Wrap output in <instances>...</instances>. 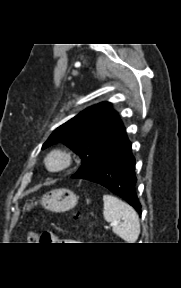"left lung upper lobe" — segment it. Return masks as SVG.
Returning a JSON list of instances; mask_svg holds the SVG:
<instances>
[{"mask_svg":"<svg viewBox=\"0 0 181 288\" xmlns=\"http://www.w3.org/2000/svg\"><path fill=\"white\" fill-rule=\"evenodd\" d=\"M125 127L112 104L91 106L58 127L42 149L63 142L82 158V166L72 176L88 175L121 141Z\"/></svg>","mask_w":181,"mask_h":288,"instance_id":"5c2ea615","label":"left lung upper lobe"}]
</instances>
